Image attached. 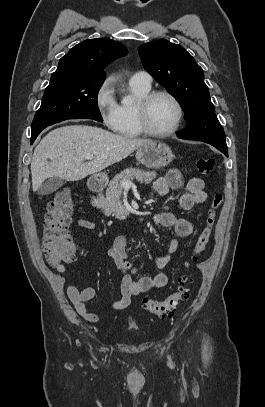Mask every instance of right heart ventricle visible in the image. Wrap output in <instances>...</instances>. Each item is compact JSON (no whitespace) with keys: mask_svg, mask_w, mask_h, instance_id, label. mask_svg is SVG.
Masks as SVG:
<instances>
[{"mask_svg":"<svg viewBox=\"0 0 265 407\" xmlns=\"http://www.w3.org/2000/svg\"><path fill=\"white\" fill-rule=\"evenodd\" d=\"M130 89L135 97L134 104H121L118 108V123L114 131L124 138H138L143 134L139 130L136 122V105L137 103L150 92V86H144L130 82Z\"/></svg>","mask_w":265,"mask_h":407,"instance_id":"obj_1","label":"right heart ventricle"}]
</instances>
